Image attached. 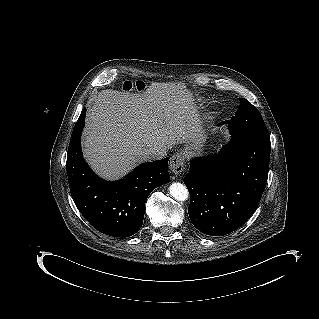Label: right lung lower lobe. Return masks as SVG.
<instances>
[{
  "mask_svg": "<svg viewBox=\"0 0 319 319\" xmlns=\"http://www.w3.org/2000/svg\"><path fill=\"white\" fill-rule=\"evenodd\" d=\"M85 114L84 109L75 124L67 153L72 198L95 229L113 237H129L143 224L145 202L151 191L169 182V158L141 164L116 182L102 180L82 156L80 137Z\"/></svg>",
  "mask_w": 319,
  "mask_h": 319,
  "instance_id": "right-lung-lower-lobe-1",
  "label": "right lung lower lobe"
}]
</instances>
